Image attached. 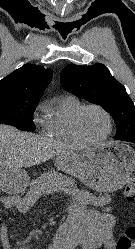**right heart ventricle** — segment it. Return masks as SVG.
Wrapping results in <instances>:
<instances>
[{
  "mask_svg": "<svg viewBox=\"0 0 135 249\" xmlns=\"http://www.w3.org/2000/svg\"><path fill=\"white\" fill-rule=\"evenodd\" d=\"M84 104L74 95L53 100L45 107L44 130L47 136L67 145L86 144L76 133L73 119Z\"/></svg>",
  "mask_w": 135,
  "mask_h": 249,
  "instance_id": "right-heart-ventricle-1",
  "label": "right heart ventricle"
}]
</instances>
